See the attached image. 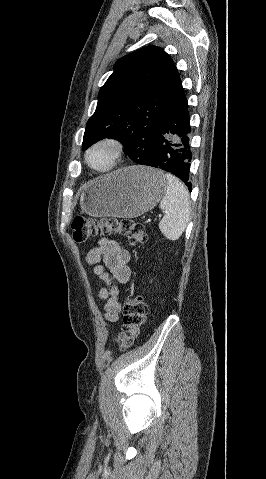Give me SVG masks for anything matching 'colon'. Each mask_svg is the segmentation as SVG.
Instances as JSON below:
<instances>
[{"label": "colon", "mask_w": 266, "mask_h": 479, "mask_svg": "<svg viewBox=\"0 0 266 479\" xmlns=\"http://www.w3.org/2000/svg\"><path fill=\"white\" fill-rule=\"evenodd\" d=\"M71 227L73 239L77 243H85L96 237L107 235H122L130 245L134 246L143 244L146 240L144 225L132 219H94L77 216L72 220ZM147 311V304L143 297L137 295L125 299L122 331L116 338L119 348L132 346L146 321Z\"/></svg>", "instance_id": "1"}]
</instances>
